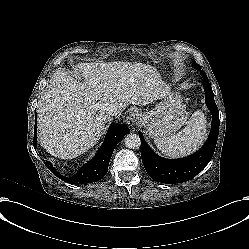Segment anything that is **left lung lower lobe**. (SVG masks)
<instances>
[{
    "instance_id": "obj_1",
    "label": "left lung lower lobe",
    "mask_w": 249,
    "mask_h": 249,
    "mask_svg": "<svg viewBox=\"0 0 249 249\" xmlns=\"http://www.w3.org/2000/svg\"><path fill=\"white\" fill-rule=\"evenodd\" d=\"M205 100L210 109L213 120L212 129L206 143L196 153L181 159H164L156 155L146 144L143 136L141 140V156L144 167L149 176L161 183L174 184L187 181L195 177L210 162L217 143L219 134V111L214 101V94L207 76H203Z\"/></svg>"
}]
</instances>
